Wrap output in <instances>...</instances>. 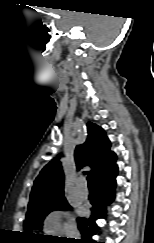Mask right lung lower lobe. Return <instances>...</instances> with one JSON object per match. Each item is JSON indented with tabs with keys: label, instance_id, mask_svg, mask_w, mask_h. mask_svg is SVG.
Masks as SVG:
<instances>
[{
	"label": "right lung lower lobe",
	"instance_id": "98d812e1",
	"mask_svg": "<svg viewBox=\"0 0 154 243\" xmlns=\"http://www.w3.org/2000/svg\"><path fill=\"white\" fill-rule=\"evenodd\" d=\"M118 167L116 166L110 173L101 176L93 181L95 196L91 200V216L89 218H78V229L81 232V240H66L65 238L49 239V243H98L92 240V235L98 231L96 220L106 217V207L114 200V190L116 187V176ZM104 243V242H99Z\"/></svg>",
	"mask_w": 154,
	"mask_h": 243
}]
</instances>
